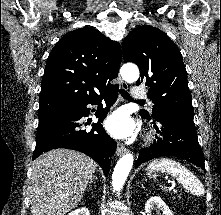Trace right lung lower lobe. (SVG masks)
<instances>
[{
    "label": "right lung lower lobe",
    "instance_id": "right-lung-lower-lobe-1",
    "mask_svg": "<svg viewBox=\"0 0 221 215\" xmlns=\"http://www.w3.org/2000/svg\"><path fill=\"white\" fill-rule=\"evenodd\" d=\"M118 95V86L113 87L97 97L90 99L77 107L53 116L39 118L36 136V147L33 160L43 152L55 148H67L80 151L93 158L103 169L105 176L110 170L111 157L116 151V142L104 131L100 122H103L107 112L115 103ZM102 99L106 108L102 107ZM88 104L98 105L97 124L91 130L82 129L80 119L90 113Z\"/></svg>",
    "mask_w": 221,
    "mask_h": 215
}]
</instances>
